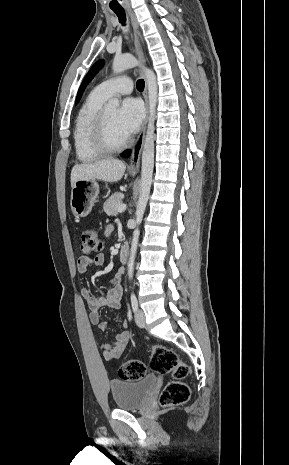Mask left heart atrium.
Returning <instances> with one entry per match:
<instances>
[{
	"instance_id": "39dd6f15",
	"label": "left heart atrium",
	"mask_w": 289,
	"mask_h": 465,
	"mask_svg": "<svg viewBox=\"0 0 289 465\" xmlns=\"http://www.w3.org/2000/svg\"><path fill=\"white\" fill-rule=\"evenodd\" d=\"M144 118V108L140 100L127 98L118 110V126L126 138L135 134Z\"/></svg>"
}]
</instances>
